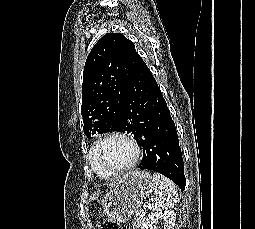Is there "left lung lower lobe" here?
Listing matches in <instances>:
<instances>
[{
    "mask_svg": "<svg viewBox=\"0 0 255 229\" xmlns=\"http://www.w3.org/2000/svg\"><path fill=\"white\" fill-rule=\"evenodd\" d=\"M120 119L143 147L138 168L163 174L183 191L186 180L176 127L161 90L142 59L126 91Z\"/></svg>",
    "mask_w": 255,
    "mask_h": 229,
    "instance_id": "left-lung-lower-lobe-1",
    "label": "left lung lower lobe"
}]
</instances>
